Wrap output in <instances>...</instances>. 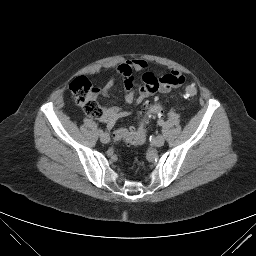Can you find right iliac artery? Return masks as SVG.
I'll list each match as a JSON object with an SVG mask.
<instances>
[{
    "mask_svg": "<svg viewBox=\"0 0 256 256\" xmlns=\"http://www.w3.org/2000/svg\"><path fill=\"white\" fill-rule=\"evenodd\" d=\"M98 134L102 135L103 134V130H98Z\"/></svg>",
    "mask_w": 256,
    "mask_h": 256,
    "instance_id": "82829eb1",
    "label": "right iliac artery"
}]
</instances>
